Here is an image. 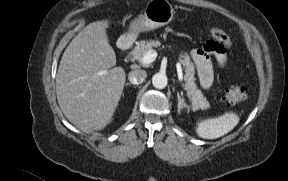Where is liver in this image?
I'll list each match as a JSON object with an SVG mask.
<instances>
[{
    "mask_svg": "<svg viewBox=\"0 0 288 181\" xmlns=\"http://www.w3.org/2000/svg\"><path fill=\"white\" fill-rule=\"evenodd\" d=\"M107 20L88 24L65 49L56 76V95L65 117L85 133L105 128L120 100L126 73L116 65Z\"/></svg>",
    "mask_w": 288,
    "mask_h": 181,
    "instance_id": "6515ba94",
    "label": "liver"
}]
</instances>
